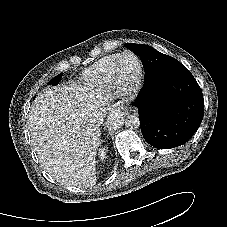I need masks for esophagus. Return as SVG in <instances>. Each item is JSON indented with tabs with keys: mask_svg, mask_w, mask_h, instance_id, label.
Wrapping results in <instances>:
<instances>
[{
	"mask_svg": "<svg viewBox=\"0 0 227 227\" xmlns=\"http://www.w3.org/2000/svg\"><path fill=\"white\" fill-rule=\"evenodd\" d=\"M113 111L121 113L120 107L118 105L113 106Z\"/></svg>",
	"mask_w": 227,
	"mask_h": 227,
	"instance_id": "esophagus-1",
	"label": "esophagus"
}]
</instances>
